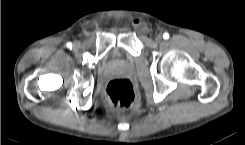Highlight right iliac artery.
<instances>
[{"label":"right iliac artery","mask_w":245,"mask_h":145,"mask_svg":"<svg viewBox=\"0 0 245 145\" xmlns=\"http://www.w3.org/2000/svg\"><path fill=\"white\" fill-rule=\"evenodd\" d=\"M67 47L71 49L72 48V43L68 42L67 43Z\"/></svg>","instance_id":"1"}]
</instances>
